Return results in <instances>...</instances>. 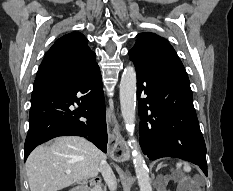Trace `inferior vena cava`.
<instances>
[{"label": "inferior vena cava", "mask_w": 233, "mask_h": 191, "mask_svg": "<svg viewBox=\"0 0 233 191\" xmlns=\"http://www.w3.org/2000/svg\"><path fill=\"white\" fill-rule=\"evenodd\" d=\"M99 171L101 172L106 184L108 185L109 190L115 191L117 188V180L111 167L105 159L100 162Z\"/></svg>", "instance_id": "inferior-vena-cava-1"}]
</instances>
